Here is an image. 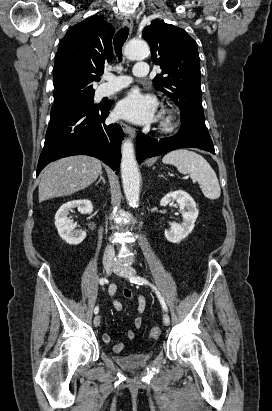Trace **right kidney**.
<instances>
[{
    "label": "right kidney",
    "instance_id": "1",
    "mask_svg": "<svg viewBox=\"0 0 272 411\" xmlns=\"http://www.w3.org/2000/svg\"><path fill=\"white\" fill-rule=\"evenodd\" d=\"M72 208H78L81 213L91 214L93 205L90 200H73L63 204L55 214V226L60 237L68 244L77 245L86 238V231L77 230L67 216Z\"/></svg>",
    "mask_w": 272,
    "mask_h": 411
}]
</instances>
